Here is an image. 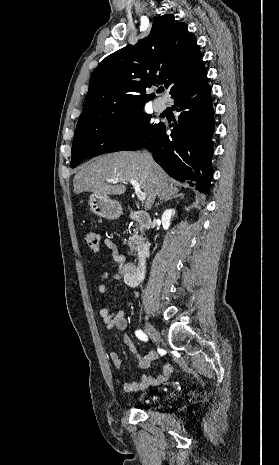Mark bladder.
<instances>
[{"instance_id":"bladder-1","label":"bladder","mask_w":279,"mask_h":465,"mask_svg":"<svg viewBox=\"0 0 279 465\" xmlns=\"http://www.w3.org/2000/svg\"><path fill=\"white\" fill-rule=\"evenodd\" d=\"M154 400V397L153 396H143L140 401L143 403V404H149L151 403L152 401Z\"/></svg>"}]
</instances>
